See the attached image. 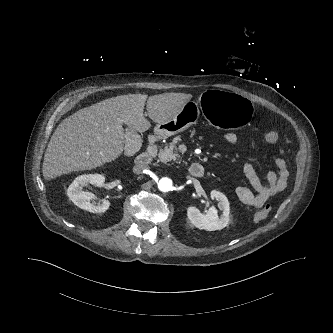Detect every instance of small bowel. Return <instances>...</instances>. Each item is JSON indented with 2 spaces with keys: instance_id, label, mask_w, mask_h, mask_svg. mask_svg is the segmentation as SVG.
<instances>
[{
  "instance_id": "c3829d8e",
  "label": "small bowel",
  "mask_w": 333,
  "mask_h": 333,
  "mask_svg": "<svg viewBox=\"0 0 333 333\" xmlns=\"http://www.w3.org/2000/svg\"><path fill=\"white\" fill-rule=\"evenodd\" d=\"M237 135L234 132H227L224 141L229 145L237 143ZM280 157L275 159L278 172L267 173L265 182L257 174L254 166L250 162L243 164V174L250 184V187L239 186L235 190L237 198L244 204L260 208L271 197L281 193L286 185L289 176L287 162L284 159L285 149L279 147Z\"/></svg>"
}]
</instances>
